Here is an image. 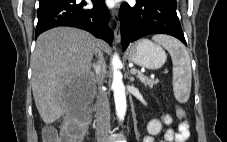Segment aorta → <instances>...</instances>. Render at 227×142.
Listing matches in <instances>:
<instances>
[{
	"label": "aorta",
	"instance_id": "obj_1",
	"mask_svg": "<svg viewBox=\"0 0 227 142\" xmlns=\"http://www.w3.org/2000/svg\"><path fill=\"white\" fill-rule=\"evenodd\" d=\"M111 63L113 69L112 89L114 93L116 114L118 116V119L122 121L124 120V116L126 114L127 103L125 95V86L123 84L122 73L120 71L122 63L118 54L116 53L114 54Z\"/></svg>",
	"mask_w": 227,
	"mask_h": 142
}]
</instances>
